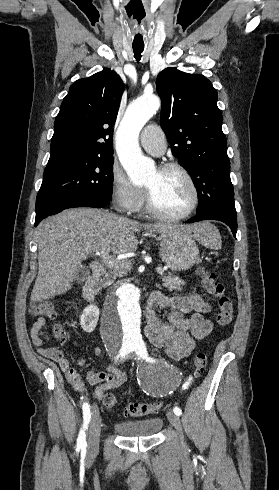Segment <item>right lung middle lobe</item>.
<instances>
[{"instance_id":"obj_1","label":"right lung middle lobe","mask_w":279,"mask_h":490,"mask_svg":"<svg viewBox=\"0 0 279 490\" xmlns=\"http://www.w3.org/2000/svg\"><path fill=\"white\" fill-rule=\"evenodd\" d=\"M113 189V150L48 163L36 198V212L54 198L88 196L107 205Z\"/></svg>"}]
</instances>
